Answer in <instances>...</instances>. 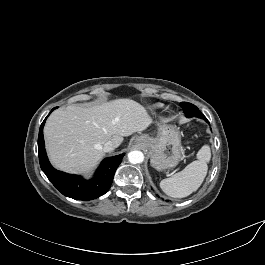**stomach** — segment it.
Listing matches in <instances>:
<instances>
[{
	"label": "stomach",
	"mask_w": 265,
	"mask_h": 265,
	"mask_svg": "<svg viewBox=\"0 0 265 265\" xmlns=\"http://www.w3.org/2000/svg\"><path fill=\"white\" fill-rule=\"evenodd\" d=\"M135 142L149 151L151 165L156 170L175 167L181 159V136L175 126L163 125L157 137L141 135L135 138Z\"/></svg>",
	"instance_id": "stomach-1"
}]
</instances>
